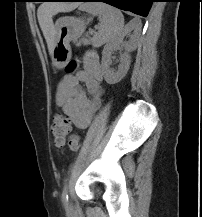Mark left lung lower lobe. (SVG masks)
<instances>
[{"label": "left lung lower lobe", "mask_w": 202, "mask_h": 217, "mask_svg": "<svg viewBox=\"0 0 202 217\" xmlns=\"http://www.w3.org/2000/svg\"><path fill=\"white\" fill-rule=\"evenodd\" d=\"M42 1H71V2H104L122 10H128L146 17L155 0H42Z\"/></svg>", "instance_id": "obj_1"}]
</instances>
